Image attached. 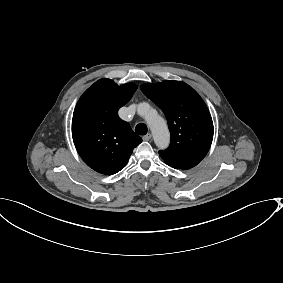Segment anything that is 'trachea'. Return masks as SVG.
<instances>
[{
    "mask_svg": "<svg viewBox=\"0 0 283 283\" xmlns=\"http://www.w3.org/2000/svg\"><path fill=\"white\" fill-rule=\"evenodd\" d=\"M135 132L139 135H146L148 132V128L145 124L140 123L137 124V126L135 127Z\"/></svg>",
    "mask_w": 283,
    "mask_h": 283,
    "instance_id": "trachea-1",
    "label": "trachea"
}]
</instances>
